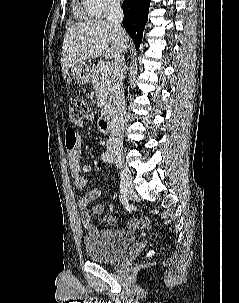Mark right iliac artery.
Listing matches in <instances>:
<instances>
[{"label": "right iliac artery", "mask_w": 239, "mask_h": 303, "mask_svg": "<svg viewBox=\"0 0 239 303\" xmlns=\"http://www.w3.org/2000/svg\"><path fill=\"white\" fill-rule=\"evenodd\" d=\"M101 157L104 162H110V156L108 153H103ZM124 176H126V171H120L119 183H120V194L122 199H125L128 193V188L127 185L125 184L126 180Z\"/></svg>", "instance_id": "right-iliac-artery-1"}]
</instances>
